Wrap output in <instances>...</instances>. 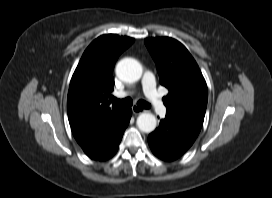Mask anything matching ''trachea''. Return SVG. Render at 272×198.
<instances>
[{
    "instance_id": "trachea-1",
    "label": "trachea",
    "mask_w": 272,
    "mask_h": 198,
    "mask_svg": "<svg viewBox=\"0 0 272 198\" xmlns=\"http://www.w3.org/2000/svg\"><path fill=\"white\" fill-rule=\"evenodd\" d=\"M111 100L117 104H120L122 106H126V107H130L132 104H133V101L131 98H125V99H117L115 97H112ZM137 105L141 108H144V109H149L151 107V105L149 103H147L146 101L144 100H139L137 102Z\"/></svg>"
}]
</instances>
